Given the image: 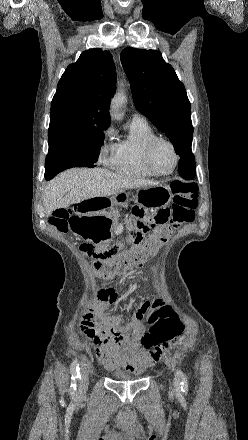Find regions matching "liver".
I'll use <instances>...</instances> for the list:
<instances>
[{"mask_svg": "<svg viewBox=\"0 0 248 440\" xmlns=\"http://www.w3.org/2000/svg\"><path fill=\"white\" fill-rule=\"evenodd\" d=\"M158 182L110 172L102 168H73L66 170L46 186L43 205L47 215L96 197L116 195L127 189L153 186Z\"/></svg>", "mask_w": 248, "mask_h": 440, "instance_id": "liver-1", "label": "liver"}]
</instances>
